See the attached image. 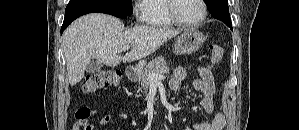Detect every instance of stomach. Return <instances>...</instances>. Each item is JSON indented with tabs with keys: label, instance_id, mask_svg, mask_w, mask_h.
<instances>
[{
	"label": "stomach",
	"instance_id": "obj_1",
	"mask_svg": "<svg viewBox=\"0 0 299 130\" xmlns=\"http://www.w3.org/2000/svg\"><path fill=\"white\" fill-rule=\"evenodd\" d=\"M206 40V36L196 28L186 29L176 40L174 51L176 54H191L201 48ZM144 62L136 64V68L143 66Z\"/></svg>",
	"mask_w": 299,
	"mask_h": 130
}]
</instances>
